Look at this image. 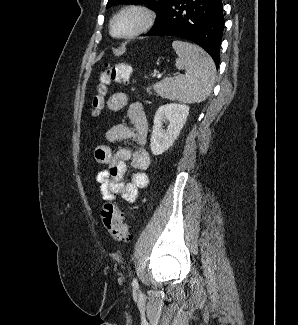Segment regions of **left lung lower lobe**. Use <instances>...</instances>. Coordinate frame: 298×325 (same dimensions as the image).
Instances as JSON below:
<instances>
[{
	"mask_svg": "<svg viewBox=\"0 0 298 325\" xmlns=\"http://www.w3.org/2000/svg\"><path fill=\"white\" fill-rule=\"evenodd\" d=\"M224 29L221 0H170L144 36H176L195 42L219 65Z\"/></svg>",
	"mask_w": 298,
	"mask_h": 325,
	"instance_id": "0a47b994",
	"label": "left lung lower lobe"
}]
</instances>
